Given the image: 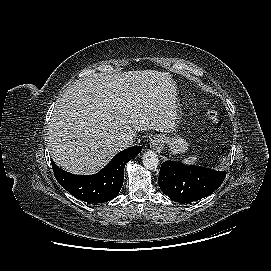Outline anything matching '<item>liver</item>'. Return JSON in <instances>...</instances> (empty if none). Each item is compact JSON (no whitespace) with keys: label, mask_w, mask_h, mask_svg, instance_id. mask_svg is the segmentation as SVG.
Returning <instances> with one entry per match:
<instances>
[{"label":"liver","mask_w":271,"mask_h":271,"mask_svg":"<svg viewBox=\"0 0 271 271\" xmlns=\"http://www.w3.org/2000/svg\"><path fill=\"white\" fill-rule=\"evenodd\" d=\"M174 91L169 73L157 70L78 80L56 101L48 127L51 157L74 174L98 172L122 150V134L174 129Z\"/></svg>","instance_id":"6515ba94"}]
</instances>
